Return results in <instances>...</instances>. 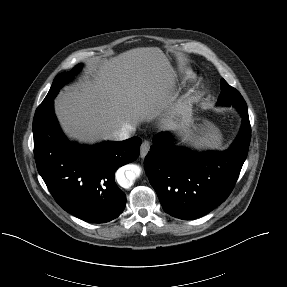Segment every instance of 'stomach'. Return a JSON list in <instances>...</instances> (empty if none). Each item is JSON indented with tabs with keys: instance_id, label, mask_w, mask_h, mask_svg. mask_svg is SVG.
<instances>
[{
	"instance_id": "obj_1",
	"label": "stomach",
	"mask_w": 287,
	"mask_h": 287,
	"mask_svg": "<svg viewBox=\"0 0 287 287\" xmlns=\"http://www.w3.org/2000/svg\"><path fill=\"white\" fill-rule=\"evenodd\" d=\"M182 134L184 141L197 149L218 148L222 143L219 129L210 121L201 119L195 111L190 112L189 123Z\"/></svg>"
}]
</instances>
